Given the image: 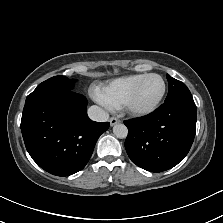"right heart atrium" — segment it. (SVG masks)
<instances>
[{"mask_svg": "<svg viewBox=\"0 0 223 223\" xmlns=\"http://www.w3.org/2000/svg\"><path fill=\"white\" fill-rule=\"evenodd\" d=\"M99 102L105 104L102 98H98Z\"/></svg>", "mask_w": 223, "mask_h": 223, "instance_id": "right-heart-atrium-1", "label": "right heart atrium"}]
</instances>
